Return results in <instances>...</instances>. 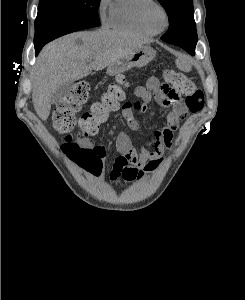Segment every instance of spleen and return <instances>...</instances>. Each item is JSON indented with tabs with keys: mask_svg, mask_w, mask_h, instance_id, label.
<instances>
[{
	"mask_svg": "<svg viewBox=\"0 0 245 300\" xmlns=\"http://www.w3.org/2000/svg\"><path fill=\"white\" fill-rule=\"evenodd\" d=\"M180 69H182L183 71L188 72V71L191 70V67H190V65L188 63H185V64H183V65L180 66Z\"/></svg>",
	"mask_w": 245,
	"mask_h": 300,
	"instance_id": "obj_1",
	"label": "spleen"
}]
</instances>
